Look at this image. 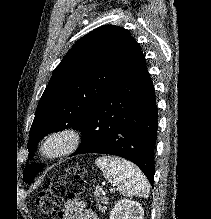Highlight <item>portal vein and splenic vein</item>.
<instances>
[{
    "label": "portal vein and splenic vein",
    "mask_w": 211,
    "mask_h": 219,
    "mask_svg": "<svg viewBox=\"0 0 211 219\" xmlns=\"http://www.w3.org/2000/svg\"><path fill=\"white\" fill-rule=\"evenodd\" d=\"M102 194H105V192H104V191H102Z\"/></svg>",
    "instance_id": "1"
}]
</instances>
